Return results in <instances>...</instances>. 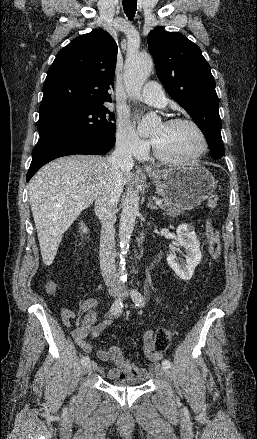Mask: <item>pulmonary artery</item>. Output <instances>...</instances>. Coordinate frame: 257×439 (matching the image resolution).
<instances>
[{
    "label": "pulmonary artery",
    "instance_id": "obj_1",
    "mask_svg": "<svg viewBox=\"0 0 257 439\" xmlns=\"http://www.w3.org/2000/svg\"><path fill=\"white\" fill-rule=\"evenodd\" d=\"M140 99L145 103L163 108L167 105V98L161 86L155 82H148L141 91Z\"/></svg>",
    "mask_w": 257,
    "mask_h": 439
}]
</instances>
